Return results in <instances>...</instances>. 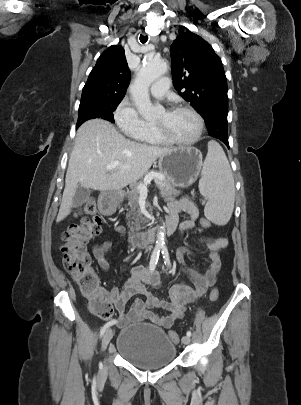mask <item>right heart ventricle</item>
Here are the masks:
<instances>
[{
    "label": "right heart ventricle",
    "instance_id": "e07e8e85",
    "mask_svg": "<svg viewBox=\"0 0 301 405\" xmlns=\"http://www.w3.org/2000/svg\"><path fill=\"white\" fill-rule=\"evenodd\" d=\"M133 137L147 144L161 145L166 143V141L156 133L153 125L148 123H146V126L141 131L133 135Z\"/></svg>",
    "mask_w": 301,
    "mask_h": 405
}]
</instances>
